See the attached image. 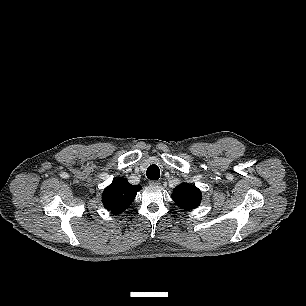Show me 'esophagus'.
I'll list each match as a JSON object with an SVG mask.
<instances>
[{
  "instance_id": "1",
  "label": "esophagus",
  "mask_w": 306,
  "mask_h": 306,
  "mask_svg": "<svg viewBox=\"0 0 306 306\" xmlns=\"http://www.w3.org/2000/svg\"><path fill=\"white\" fill-rule=\"evenodd\" d=\"M149 184H150V186L155 187V186H159L161 183H160V181H158V180H151V181L149 182Z\"/></svg>"
}]
</instances>
